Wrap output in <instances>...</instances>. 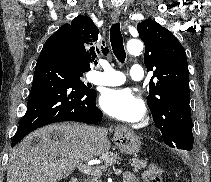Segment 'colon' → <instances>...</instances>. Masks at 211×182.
<instances>
[{"label":"colon","mask_w":211,"mask_h":182,"mask_svg":"<svg viewBox=\"0 0 211 182\" xmlns=\"http://www.w3.org/2000/svg\"><path fill=\"white\" fill-rule=\"evenodd\" d=\"M143 178L145 182H162V169L158 165L152 164L145 171Z\"/></svg>","instance_id":"colon-1"}]
</instances>
